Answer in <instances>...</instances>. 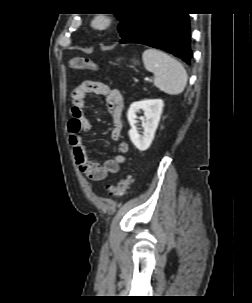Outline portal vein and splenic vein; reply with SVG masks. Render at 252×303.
<instances>
[{
  "instance_id": "1",
  "label": "portal vein and splenic vein",
  "mask_w": 252,
  "mask_h": 303,
  "mask_svg": "<svg viewBox=\"0 0 252 303\" xmlns=\"http://www.w3.org/2000/svg\"><path fill=\"white\" fill-rule=\"evenodd\" d=\"M146 81H149V78H145Z\"/></svg>"
}]
</instances>
